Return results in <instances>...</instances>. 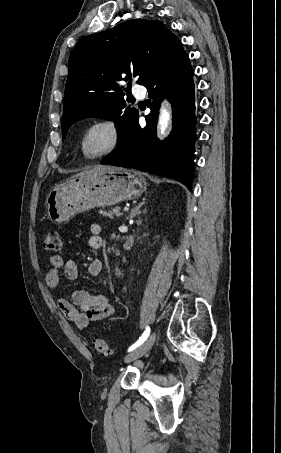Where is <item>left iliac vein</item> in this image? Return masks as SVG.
<instances>
[{
    "mask_svg": "<svg viewBox=\"0 0 281 453\" xmlns=\"http://www.w3.org/2000/svg\"><path fill=\"white\" fill-rule=\"evenodd\" d=\"M156 332L154 331L143 344L137 347L136 351H132L131 354H128L124 357V360L128 362H134L135 359H138L139 356H142L143 353H148L149 348L154 345L155 340L157 339Z\"/></svg>",
    "mask_w": 281,
    "mask_h": 453,
    "instance_id": "1",
    "label": "left iliac vein"
}]
</instances>
